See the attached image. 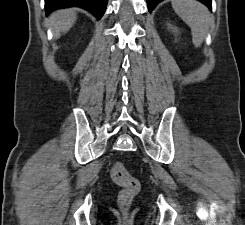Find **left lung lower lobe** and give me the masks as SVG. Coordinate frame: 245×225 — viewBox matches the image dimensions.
<instances>
[{
    "label": "left lung lower lobe",
    "mask_w": 245,
    "mask_h": 225,
    "mask_svg": "<svg viewBox=\"0 0 245 225\" xmlns=\"http://www.w3.org/2000/svg\"><path fill=\"white\" fill-rule=\"evenodd\" d=\"M163 0H147L148 4V11L151 12L153 8ZM202 3H204L209 9H211V0H198Z\"/></svg>",
    "instance_id": "0a47b994"
}]
</instances>
